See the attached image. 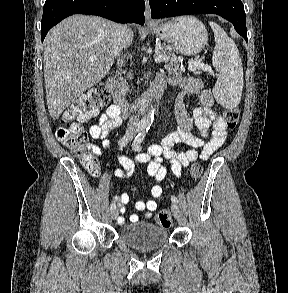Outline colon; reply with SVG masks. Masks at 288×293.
<instances>
[{"label":"colon","mask_w":288,"mask_h":293,"mask_svg":"<svg viewBox=\"0 0 288 293\" xmlns=\"http://www.w3.org/2000/svg\"><path fill=\"white\" fill-rule=\"evenodd\" d=\"M106 102L107 92L103 85L91 88L62 113L55 130L57 140L77 156L83 167L92 175L99 172V162L88 149V134L83 122L94 116ZM239 118L240 112L237 108H229L223 113V121L229 129L236 127ZM202 172V165L194 163L190 168L191 179L197 181ZM155 223L169 228L172 223L170 213L167 210L159 211L155 216Z\"/></svg>","instance_id":"5ec220e1"}]
</instances>
